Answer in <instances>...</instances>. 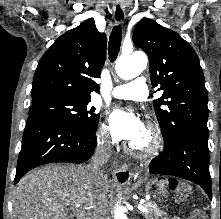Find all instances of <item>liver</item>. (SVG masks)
I'll list each match as a JSON object with an SVG mask.
<instances>
[{
  "label": "liver",
  "mask_w": 221,
  "mask_h": 219,
  "mask_svg": "<svg viewBox=\"0 0 221 219\" xmlns=\"http://www.w3.org/2000/svg\"><path fill=\"white\" fill-rule=\"evenodd\" d=\"M109 189L107 177H96L90 165L44 166L17 184L13 219H69L78 203L106 214Z\"/></svg>",
  "instance_id": "6515ba94"
}]
</instances>
